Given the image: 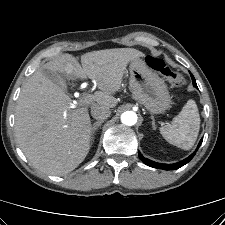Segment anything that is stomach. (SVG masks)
Wrapping results in <instances>:
<instances>
[{
  "label": "stomach",
  "mask_w": 225,
  "mask_h": 225,
  "mask_svg": "<svg viewBox=\"0 0 225 225\" xmlns=\"http://www.w3.org/2000/svg\"><path fill=\"white\" fill-rule=\"evenodd\" d=\"M129 72L133 99L152 114H160L170 107L171 97L164 80L144 60H131Z\"/></svg>",
  "instance_id": "stomach-1"
}]
</instances>
